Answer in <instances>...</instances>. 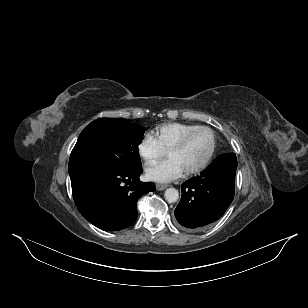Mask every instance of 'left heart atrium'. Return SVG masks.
I'll return each instance as SVG.
<instances>
[{"label":"left heart atrium","instance_id":"obj_1","mask_svg":"<svg viewBox=\"0 0 308 308\" xmlns=\"http://www.w3.org/2000/svg\"><path fill=\"white\" fill-rule=\"evenodd\" d=\"M185 172L180 162L169 157L168 159L149 167L146 170L147 177L155 182H170L180 177Z\"/></svg>","mask_w":308,"mask_h":308}]
</instances>
